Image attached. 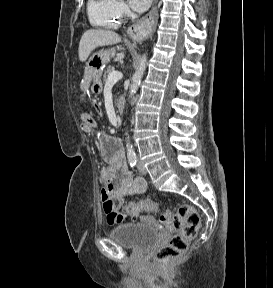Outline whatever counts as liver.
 I'll use <instances>...</instances> for the list:
<instances>
[{
	"label": "liver",
	"mask_w": 273,
	"mask_h": 288,
	"mask_svg": "<svg viewBox=\"0 0 273 288\" xmlns=\"http://www.w3.org/2000/svg\"><path fill=\"white\" fill-rule=\"evenodd\" d=\"M121 42V37L114 31L104 29H89L82 35L78 55L81 62H85L91 52L97 47L115 45ZM123 56H118L115 60H121Z\"/></svg>",
	"instance_id": "1"
}]
</instances>
